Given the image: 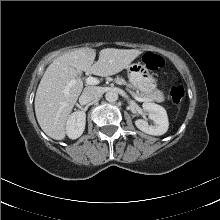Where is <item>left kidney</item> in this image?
I'll return each instance as SVG.
<instances>
[{
	"label": "left kidney",
	"instance_id": "1",
	"mask_svg": "<svg viewBox=\"0 0 220 220\" xmlns=\"http://www.w3.org/2000/svg\"><path fill=\"white\" fill-rule=\"evenodd\" d=\"M143 109L149 112L148 116L153 121V125H149L145 120L138 119L135 121L136 127L149 135L160 136L166 133L169 126L166 110L151 102L143 103Z\"/></svg>",
	"mask_w": 220,
	"mask_h": 220
}]
</instances>
